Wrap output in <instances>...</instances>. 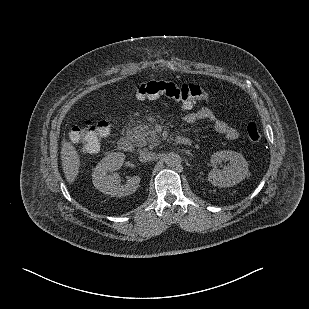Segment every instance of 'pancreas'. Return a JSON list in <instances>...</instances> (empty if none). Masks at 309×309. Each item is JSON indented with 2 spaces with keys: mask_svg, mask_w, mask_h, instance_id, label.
I'll return each mask as SVG.
<instances>
[{
  "mask_svg": "<svg viewBox=\"0 0 309 309\" xmlns=\"http://www.w3.org/2000/svg\"><path fill=\"white\" fill-rule=\"evenodd\" d=\"M137 134L141 139H144L145 141H148L151 144L154 142V138L156 137V135H154L152 131L146 132L142 129L138 130Z\"/></svg>",
  "mask_w": 309,
  "mask_h": 309,
  "instance_id": "cf45deb5",
  "label": "pancreas"
}]
</instances>
